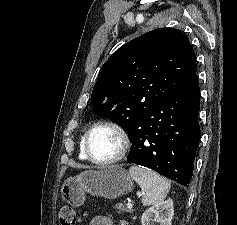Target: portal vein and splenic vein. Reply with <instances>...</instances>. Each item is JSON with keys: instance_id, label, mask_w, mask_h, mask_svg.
Instances as JSON below:
<instances>
[{"instance_id": "1", "label": "portal vein and splenic vein", "mask_w": 237, "mask_h": 225, "mask_svg": "<svg viewBox=\"0 0 237 225\" xmlns=\"http://www.w3.org/2000/svg\"><path fill=\"white\" fill-rule=\"evenodd\" d=\"M132 207H133L132 203H131V202H128V203H127V208H128V209H132Z\"/></svg>"}]
</instances>
